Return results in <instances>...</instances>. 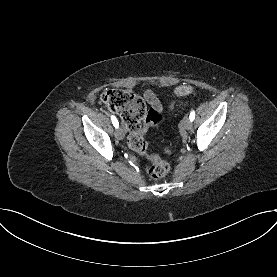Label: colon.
Instances as JSON below:
<instances>
[{"instance_id": "1", "label": "colon", "mask_w": 277, "mask_h": 277, "mask_svg": "<svg viewBox=\"0 0 277 277\" xmlns=\"http://www.w3.org/2000/svg\"><path fill=\"white\" fill-rule=\"evenodd\" d=\"M193 92V87L189 85L179 86L175 90L179 96H187ZM100 99L109 110L120 115L130 132L129 147L151 161L147 169L148 177L152 180H158L166 176L170 169L168 163L156 155L148 154L147 142L142 132V121L157 127L163 121L162 113L154 109L148 110L140 96L125 89H107L102 92ZM165 151L167 154L172 152L171 148H166Z\"/></svg>"}]
</instances>
